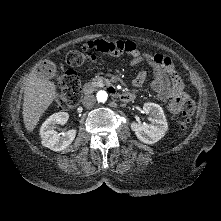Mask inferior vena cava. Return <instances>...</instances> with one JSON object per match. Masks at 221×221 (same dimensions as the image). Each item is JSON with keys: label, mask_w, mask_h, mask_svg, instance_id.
<instances>
[{"label": "inferior vena cava", "mask_w": 221, "mask_h": 221, "mask_svg": "<svg viewBox=\"0 0 221 221\" xmlns=\"http://www.w3.org/2000/svg\"><path fill=\"white\" fill-rule=\"evenodd\" d=\"M96 102V98L94 97V95H86L84 96L83 98V105L86 107V108H90L92 107Z\"/></svg>", "instance_id": "obj_1"}]
</instances>
